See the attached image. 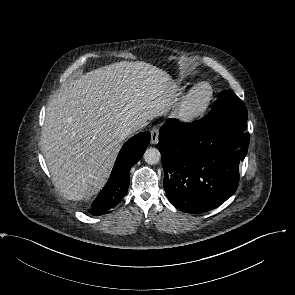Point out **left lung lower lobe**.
<instances>
[{
    "mask_svg": "<svg viewBox=\"0 0 295 295\" xmlns=\"http://www.w3.org/2000/svg\"><path fill=\"white\" fill-rule=\"evenodd\" d=\"M247 125L205 116L194 123L168 119L158 149L170 202L192 214L220 206L236 191L248 145Z\"/></svg>",
    "mask_w": 295,
    "mask_h": 295,
    "instance_id": "1",
    "label": "left lung lower lobe"
}]
</instances>
